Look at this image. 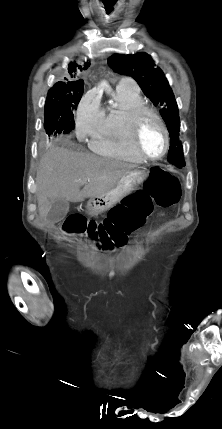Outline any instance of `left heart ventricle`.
Wrapping results in <instances>:
<instances>
[{
  "label": "left heart ventricle",
  "instance_id": "obj_1",
  "mask_svg": "<svg viewBox=\"0 0 222 429\" xmlns=\"http://www.w3.org/2000/svg\"><path fill=\"white\" fill-rule=\"evenodd\" d=\"M139 142L143 151L149 156H158L165 147V139L157 120L150 115L144 116L140 130Z\"/></svg>",
  "mask_w": 222,
  "mask_h": 429
}]
</instances>
